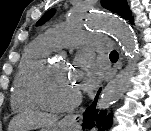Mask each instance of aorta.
<instances>
[{
	"label": "aorta",
	"instance_id": "obj_1",
	"mask_svg": "<svg viewBox=\"0 0 151 131\" xmlns=\"http://www.w3.org/2000/svg\"><path fill=\"white\" fill-rule=\"evenodd\" d=\"M85 23L90 28L100 29L114 35L128 57L126 67L106 85L98 100L97 108L105 110L119 100L130 87V79L135 73L139 60L137 43L130 26L119 17L107 14L89 15Z\"/></svg>",
	"mask_w": 151,
	"mask_h": 131
}]
</instances>
